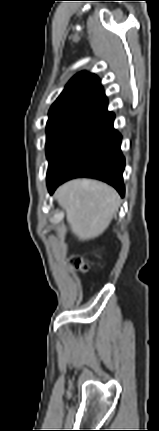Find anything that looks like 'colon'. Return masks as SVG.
I'll use <instances>...</instances> for the list:
<instances>
[{"label": "colon", "mask_w": 159, "mask_h": 431, "mask_svg": "<svg viewBox=\"0 0 159 431\" xmlns=\"http://www.w3.org/2000/svg\"><path fill=\"white\" fill-rule=\"evenodd\" d=\"M73 266L76 270L85 273L88 270V265L80 258H75L73 260Z\"/></svg>", "instance_id": "obj_1"}]
</instances>
